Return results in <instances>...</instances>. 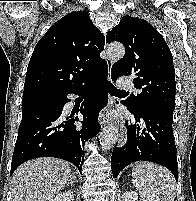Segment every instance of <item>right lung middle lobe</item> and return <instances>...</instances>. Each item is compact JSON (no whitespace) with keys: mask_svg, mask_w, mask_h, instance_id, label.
I'll return each instance as SVG.
<instances>
[{"mask_svg":"<svg viewBox=\"0 0 196 201\" xmlns=\"http://www.w3.org/2000/svg\"><path fill=\"white\" fill-rule=\"evenodd\" d=\"M55 95H34L23 97L22 99V108L35 105H46L52 103L55 100Z\"/></svg>","mask_w":196,"mask_h":201,"instance_id":"dd1d6c3e","label":"right lung middle lobe"}]
</instances>
